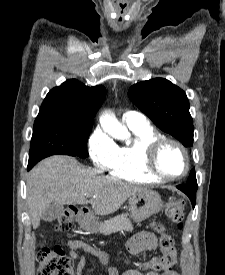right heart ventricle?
<instances>
[{
  "label": "right heart ventricle",
  "mask_w": 225,
  "mask_h": 275,
  "mask_svg": "<svg viewBox=\"0 0 225 275\" xmlns=\"http://www.w3.org/2000/svg\"><path fill=\"white\" fill-rule=\"evenodd\" d=\"M134 135L131 143L117 147L116 155L108 170L111 176L139 184L160 182L144 166V148L162 135L149 124L129 126Z\"/></svg>",
  "instance_id": "right-heart-ventricle-1"
}]
</instances>
